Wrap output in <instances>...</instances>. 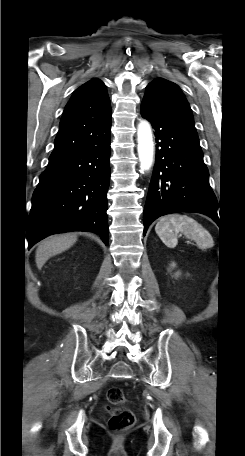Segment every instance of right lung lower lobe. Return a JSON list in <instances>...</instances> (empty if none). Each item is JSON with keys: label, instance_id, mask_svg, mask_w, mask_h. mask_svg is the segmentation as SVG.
<instances>
[{"label": "right lung lower lobe", "instance_id": "right-lung-lower-lobe-1", "mask_svg": "<svg viewBox=\"0 0 245 456\" xmlns=\"http://www.w3.org/2000/svg\"><path fill=\"white\" fill-rule=\"evenodd\" d=\"M110 129L89 147L49 160L32 196L28 248L51 234L75 230L98 233L108 245Z\"/></svg>", "mask_w": 245, "mask_h": 456}]
</instances>
